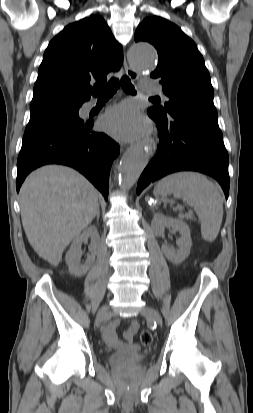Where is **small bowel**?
<instances>
[{
  "label": "small bowel",
  "instance_id": "obj_1",
  "mask_svg": "<svg viewBox=\"0 0 253 413\" xmlns=\"http://www.w3.org/2000/svg\"><path fill=\"white\" fill-rule=\"evenodd\" d=\"M118 326V321L112 322L103 330L102 336L106 344L113 348L121 349L124 348L126 344H132L134 335L136 334L139 325L136 321H131L127 330L123 334V340H121L116 333Z\"/></svg>",
  "mask_w": 253,
  "mask_h": 413
}]
</instances>
